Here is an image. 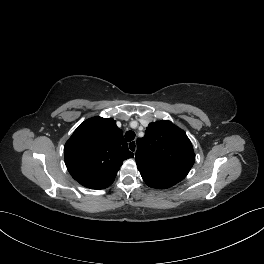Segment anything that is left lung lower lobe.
<instances>
[{
  "mask_svg": "<svg viewBox=\"0 0 264 264\" xmlns=\"http://www.w3.org/2000/svg\"><path fill=\"white\" fill-rule=\"evenodd\" d=\"M142 178L145 183L152 188H169L175 185L177 182L163 171H153L148 174H142Z\"/></svg>",
  "mask_w": 264,
  "mask_h": 264,
  "instance_id": "obj_1",
  "label": "left lung lower lobe"
}]
</instances>
